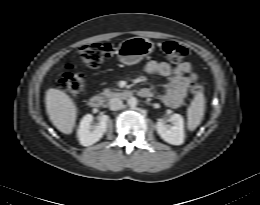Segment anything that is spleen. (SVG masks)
<instances>
[{"mask_svg":"<svg viewBox=\"0 0 260 205\" xmlns=\"http://www.w3.org/2000/svg\"><path fill=\"white\" fill-rule=\"evenodd\" d=\"M206 100L203 93H198L187 110L188 129L194 131L202 122Z\"/></svg>","mask_w":260,"mask_h":205,"instance_id":"spleen-1","label":"spleen"}]
</instances>
